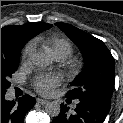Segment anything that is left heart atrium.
I'll return each instance as SVG.
<instances>
[{"label": "left heart atrium", "instance_id": "1", "mask_svg": "<svg viewBox=\"0 0 123 123\" xmlns=\"http://www.w3.org/2000/svg\"><path fill=\"white\" fill-rule=\"evenodd\" d=\"M62 81L59 74L44 73L35 77L33 84L35 89L42 95H49Z\"/></svg>", "mask_w": 123, "mask_h": 123}]
</instances>
